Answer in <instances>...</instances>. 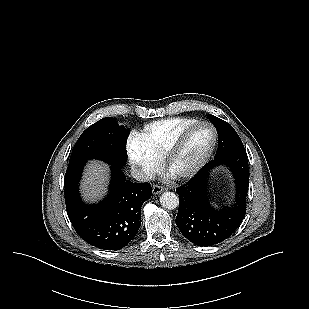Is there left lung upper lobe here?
<instances>
[{
	"label": "left lung upper lobe",
	"instance_id": "left-lung-upper-lobe-1",
	"mask_svg": "<svg viewBox=\"0 0 309 309\" xmlns=\"http://www.w3.org/2000/svg\"><path fill=\"white\" fill-rule=\"evenodd\" d=\"M208 118L214 124L216 129L221 131L220 135L218 134L219 144L215 156L223 154L229 150L244 148L241 139L229 123L211 114L208 115Z\"/></svg>",
	"mask_w": 309,
	"mask_h": 309
}]
</instances>
